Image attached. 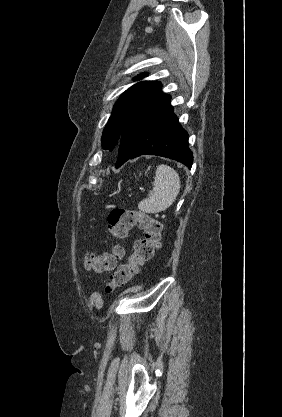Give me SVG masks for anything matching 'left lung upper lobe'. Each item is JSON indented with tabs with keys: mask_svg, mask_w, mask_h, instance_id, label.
<instances>
[{
	"mask_svg": "<svg viewBox=\"0 0 282 417\" xmlns=\"http://www.w3.org/2000/svg\"><path fill=\"white\" fill-rule=\"evenodd\" d=\"M146 74L139 75L136 79H141ZM160 82H140L125 91L114 105L112 115L103 131L102 144L105 150L112 151L117 147L123 127L130 114L158 87Z\"/></svg>",
	"mask_w": 282,
	"mask_h": 417,
	"instance_id": "1",
	"label": "left lung upper lobe"
}]
</instances>
